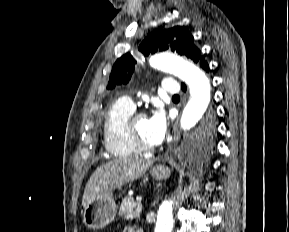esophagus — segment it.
Returning <instances> with one entry per match:
<instances>
[{
    "instance_id": "1",
    "label": "esophagus",
    "mask_w": 289,
    "mask_h": 232,
    "mask_svg": "<svg viewBox=\"0 0 289 232\" xmlns=\"http://www.w3.org/2000/svg\"><path fill=\"white\" fill-rule=\"evenodd\" d=\"M173 130H174V143H177L179 140V134L177 133V122H175Z\"/></svg>"
}]
</instances>
